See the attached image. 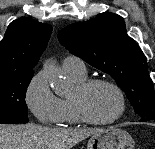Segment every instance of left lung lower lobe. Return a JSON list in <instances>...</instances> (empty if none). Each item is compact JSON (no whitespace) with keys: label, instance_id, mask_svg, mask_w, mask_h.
<instances>
[{"label":"left lung lower lobe","instance_id":"left-lung-lower-lobe-1","mask_svg":"<svg viewBox=\"0 0 155 149\" xmlns=\"http://www.w3.org/2000/svg\"><path fill=\"white\" fill-rule=\"evenodd\" d=\"M149 120H154L155 121V117L154 116H147L145 118H141L139 121L140 122H145V121H149Z\"/></svg>","mask_w":155,"mask_h":149}]
</instances>
